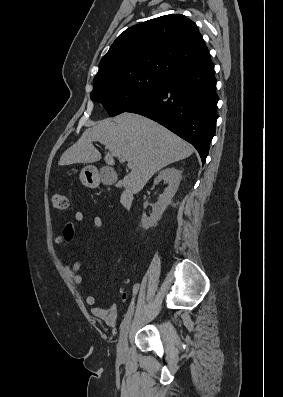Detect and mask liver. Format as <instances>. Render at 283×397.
<instances>
[{
	"label": "liver",
	"instance_id": "1",
	"mask_svg": "<svg viewBox=\"0 0 283 397\" xmlns=\"http://www.w3.org/2000/svg\"><path fill=\"white\" fill-rule=\"evenodd\" d=\"M95 141L108 149L104 157L108 165L115 164L114 157L128 161L131 172L124 177L123 185L134 194L141 191L157 171L194 152L188 142L160 124L138 114L123 113L86 129L62 154L59 165L99 161L101 154L93 145Z\"/></svg>",
	"mask_w": 283,
	"mask_h": 397
}]
</instances>
